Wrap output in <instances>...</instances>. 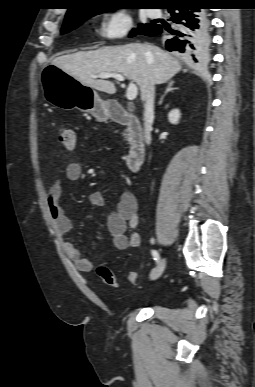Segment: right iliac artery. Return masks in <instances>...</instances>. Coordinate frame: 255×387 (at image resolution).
Listing matches in <instances>:
<instances>
[{"mask_svg":"<svg viewBox=\"0 0 255 387\" xmlns=\"http://www.w3.org/2000/svg\"><path fill=\"white\" fill-rule=\"evenodd\" d=\"M151 253H152L154 260L158 261L159 260L158 252L156 250H152Z\"/></svg>","mask_w":255,"mask_h":387,"instance_id":"1","label":"right iliac artery"}]
</instances>
